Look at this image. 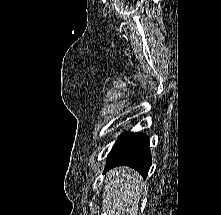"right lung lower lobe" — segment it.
<instances>
[{
	"label": "right lung lower lobe",
	"mask_w": 221,
	"mask_h": 215,
	"mask_svg": "<svg viewBox=\"0 0 221 215\" xmlns=\"http://www.w3.org/2000/svg\"><path fill=\"white\" fill-rule=\"evenodd\" d=\"M149 140L143 133L126 132L115 142L107 157L105 170L116 166H129L146 178L151 166Z\"/></svg>",
	"instance_id": "98d812e1"
}]
</instances>
